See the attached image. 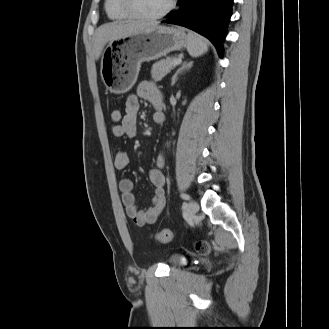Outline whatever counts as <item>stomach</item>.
Instances as JSON below:
<instances>
[{"mask_svg": "<svg viewBox=\"0 0 329 329\" xmlns=\"http://www.w3.org/2000/svg\"><path fill=\"white\" fill-rule=\"evenodd\" d=\"M186 45L185 32L173 26H156L148 31L118 37L103 51L102 81L110 92L125 93L135 84L142 62L159 59Z\"/></svg>", "mask_w": 329, "mask_h": 329, "instance_id": "obj_1", "label": "stomach"}]
</instances>
